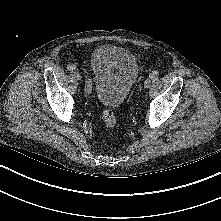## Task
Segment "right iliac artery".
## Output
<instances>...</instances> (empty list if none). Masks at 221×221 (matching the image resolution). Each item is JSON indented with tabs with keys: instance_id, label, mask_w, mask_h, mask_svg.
I'll list each match as a JSON object with an SVG mask.
<instances>
[{
	"instance_id": "82829eb1",
	"label": "right iliac artery",
	"mask_w": 221,
	"mask_h": 221,
	"mask_svg": "<svg viewBox=\"0 0 221 221\" xmlns=\"http://www.w3.org/2000/svg\"><path fill=\"white\" fill-rule=\"evenodd\" d=\"M67 69L70 72H74V71H76L77 67L74 64H69V65H67ZM91 90H92L91 79L87 78L86 81H85V92H86V95H90Z\"/></svg>"
}]
</instances>
